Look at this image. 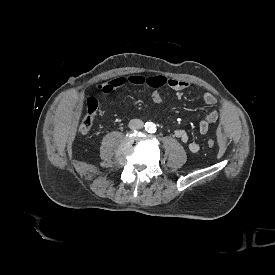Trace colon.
<instances>
[{
  "label": "colon",
  "mask_w": 275,
  "mask_h": 275,
  "mask_svg": "<svg viewBox=\"0 0 275 275\" xmlns=\"http://www.w3.org/2000/svg\"><path fill=\"white\" fill-rule=\"evenodd\" d=\"M98 110V102L94 97H89L87 100L86 114L84 115L80 125L79 131L81 133H87L93 127L95 121V113ZM205 147L207 149H212L214 147V140L209 139L205 142Z\"/></svg>",
  "instance_id": "colon-1"
}]
</instances>
